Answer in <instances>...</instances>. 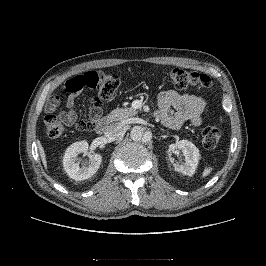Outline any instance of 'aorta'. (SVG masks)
<instances>
[{
	"mask_svg": "<svg viewBox=\"0 0 266 266\" xmlns=\"http://www.w3.org/2000/svg\"><path fill=\"white\" fill-rule=\"evenodd\" d=\"M130 136L131 139L136 142H149L152 139V133L149 131H144L142 126H134L131 129Z\"/></svg>",
	"mask_w": 266,
	"mask_h": 266,
	"instance_id": "1",
	"label": "aorta"
}]
</instances>
